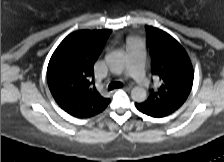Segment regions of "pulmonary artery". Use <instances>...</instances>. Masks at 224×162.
Wrapping results in <instances>:
<instances>
[{
  "mask_svg": "<svg viewBox=\"0 0 224 162\" xmlns=\"http://www.w3.org/2000/svg\"><path fill=\"white\" fill-rule=\"evenodd\" d=\"M125 74L144 87L149 83L144 71V55L142 42L136 40L127 45Z\"/></svg>",
  "mask_w": 224,
  "mask_h": 162,
  "instance_id": "1",
  "label": "pulmonary artery"
}]
</instances>
